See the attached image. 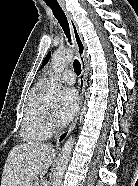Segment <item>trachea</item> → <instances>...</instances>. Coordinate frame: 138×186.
Returning <instances> with one entry per match:
<instances>
[{
    "label": "trachea",
    "mask_w": 138,
    "mask_h": 186,
    "mask_svg": "<svg viewBox=\"0 0 138 186\" xmlns=\"http://www.w3.org/2000/svg\"><path fill=\"white\" fill-rule=\"evenodd\" d=\"M46 4L51 8L53 11V14L55 18L58 20L59 24L61 25L62 29L64 30L66 37L68 38V41L71 42V36H70V28H69V23L67 20V17L58 4V2H46ZM74 66V71L77 75L81 74V64L79 60H75L73 63Z\"/></svg>",
    "instance_id": "obj_1"
}]
</instances>
